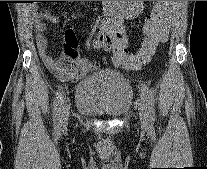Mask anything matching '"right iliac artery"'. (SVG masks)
<instances>
[{
  "label": "right iliac artery",
  "mask_w": 207,
  "mask_h": 169,
  "mask_svg": "<svg viewBox=\"0 0 207 169\" xmlns=\"http://www.w3.org/2000/svg\"><path fill=\"white\" fill-rule=\"evenodd\" d=\"M64 98H63V92L59 91L56 93V100L54 104V124L55 127H60V121L62 117V112L64 109Z\"/></svg>",
  "instance_id": "obj_1"
}]
</instances>
